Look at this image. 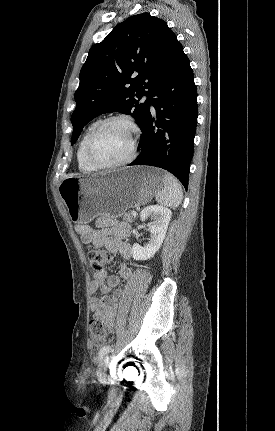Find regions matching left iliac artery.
Returning a JSON list of instances; mask_svg holds the SVG:
<instances>
[{
  "label": "left iliac artery",
  "instance_id": "1",
  "mask_svg": "<svg viewBox=\"0 0 275 431\" xmlns=\"http://www.w3.org/2000/svg\"><path fill=\"white\" fill-rule=\"evenodd\" d=\"M111 350H112V348L109 345H106V346L102 347L100 349L99 353H98L99 358L100 359L104 358L105 356L108 355L109 352H111Z\"/></svg>",
  "mask_w": 275,
  "mask_h": 431
}]
</instances>
